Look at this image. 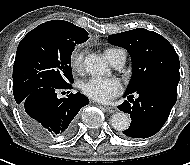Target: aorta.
I'll list each match as a JSON object with an SVG mask.
<instances>
[{
  "label": "aorta",
  "instance_id": "762f6f07",
  "mask_svg": "<svg viewBox=\"0 0 190 165\" xmlns=\"http://www.w3.org/2000/svg\"><path fill=\"white\" fill-rule=\"evenodd\" d=\"M84 67L91 75H102L108 68L104 59L97 54H89L85 57ZM111 125L115 130L124 131L130 126V118L124 112H117L112 115Z\"/></svg>",
  "mask_w": 190,
  "mask_h": 165
}]
</instances>
